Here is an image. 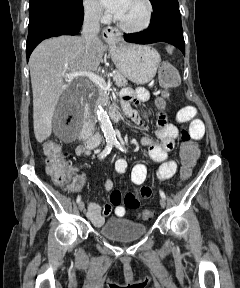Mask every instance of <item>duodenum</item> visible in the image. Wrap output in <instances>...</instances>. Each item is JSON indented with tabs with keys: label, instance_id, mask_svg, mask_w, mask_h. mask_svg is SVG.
Instances as JSON below:
<instances>
[{
	"label": "duodenum",
	"instance_id": "1",
	"mask_svg": "<svg viewBox=\"0 0 240 288\" xmlns=\"http://www.w3.org/2000/svg\"><path fill=\"white\" fill-rule=\"evenodd\" d=\"M109 114L112 119L117 120L121 115L119 107L115 104L109 107ZM94 119L88 108L84 110V128L81 139L90 148H95L100 142V136L93 133Z\"/></svg>",
	"mask_w": 240,
	"mask_h": 288
}]
</instances>
